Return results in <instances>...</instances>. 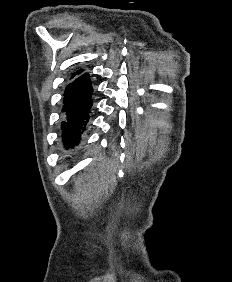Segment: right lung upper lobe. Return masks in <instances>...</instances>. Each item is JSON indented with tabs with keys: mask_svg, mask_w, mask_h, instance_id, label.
Masks as SVG:
<instances>
[{
	"mask_svg": "<svg viewBox=\"0 0 232 282\" xmlns=\"http://www.w3.org/2000/svg\"><path fill=\"white\" fill-rule=\"evenodd\" d=\"M82 72H83L82 69L77 70L76 72H74V73L72 74L71 78L75 77L76 75H79V74L82 73Z\"/></svg>",
	"mask_w": 232,
	"mask_h": 282,
	"instance_id": "1",
	"label": "right lung upper lobe"
}]
</instances>
